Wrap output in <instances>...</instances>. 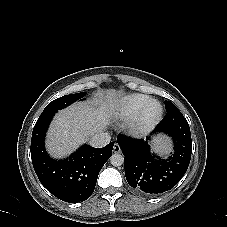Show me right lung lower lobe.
I'll use <instances>...</instances> for the list:
<instances>
[{"mask_svg": "<svg viewBox=\"0 0 227 227\" xmlns=\"http://www.w3.org/2000/svg\"><path fill=\"white\" fill-rule=\"evenodd\" d=\"M57 110L42 112L31 139V159L42 185L55 197L69 203L88 199L97 182L98 174L112 155L114 143L103 148L83 145L69 158L54 160L45 151L44 139L51 119Z\"/></svg>", "mask_w": 227, "mask_h": 227, "instance_id": "right-lung-lower-lobe-1", "label": "right lung lower lobe"}]
</instances>
